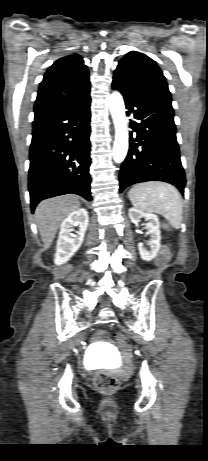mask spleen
Instances as JSON below:
<instances>
[{
  "mask_svg": "<svg viewBox=\"0 0 208 461\" xmlns=\"http://www.w3.org/2000/svg\"><path fill=\"white\" fill-rule=\"evenodd\" d=\"M128 197L132 205L140 211L160 214L173 228H180L183 203L175 186L165 182L136 184L129 190Z\"/></svg>",
  "mask_w": 208,
  "mask_h": 461,
  "instance_id": "spleen-1",
  "label": "spleen"
}]
</instances>
